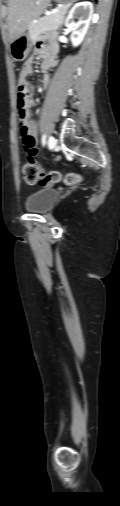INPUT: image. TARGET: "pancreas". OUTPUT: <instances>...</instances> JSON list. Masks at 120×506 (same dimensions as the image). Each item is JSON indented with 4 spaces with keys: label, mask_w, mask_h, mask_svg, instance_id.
Returning <instances> with one entry per match:
<instances>
[{
    "label": "pancreas",
    "mask_w": 120,
    "mask_h": 506,
    "mask_svg": "<svg viewBox=\"0 0 120 506\" xmlns=\"http://www.w3.org/2000/svg\"><path fill=\"white\" fill-rule=\"evenodd\" d=\"M66 10L61 8L58 12L50 13L36 23H31L28 27L31 39L34 41L41 33L56 31L62 23Z\"/></svg>",
    "instance_id": "cf45deb5"
}]
</instances>
